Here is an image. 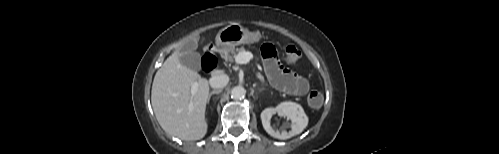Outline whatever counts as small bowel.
<instances>
[{
	"label": "small bowel",
	"mask_w": 499,
	"mask_h": 154,
	"mask_svg": "<svg viewBox=\"0 0 499 154\" xmlns=\"http://www.w3.org/2000/svg\"><path fill=\"white\" fill-rule=\"evenodd\" d=\"M262 56L266 74L275 88L298 96L305 95L308 92L309 82L279 63L274 46L265 44L262 47Z\"/></svg>",
	"instance_id": "small-bowel-1"
}]
</instances>
